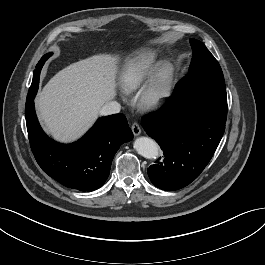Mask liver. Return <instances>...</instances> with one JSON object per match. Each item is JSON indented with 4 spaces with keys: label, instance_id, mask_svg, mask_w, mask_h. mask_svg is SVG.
Segmentation results:
<instances>
[{
    "label": "liver",
    "instance_id": "6515ba94",
    "mask_svg": "<svg viewBox=\"0 0 265 265\" xmlns=\"http://www.w3.org/2000/svg\"><path fill=\"white\" fill-rule=\"evenodd\" d=\"M116 58L99 54L59 71L38 94L40 120L54 139L72 142L95 122L101 108L115 98Z\"/></svg>",
    "mask_w": 265,
    "mask_h": 265
}]
</instances>
